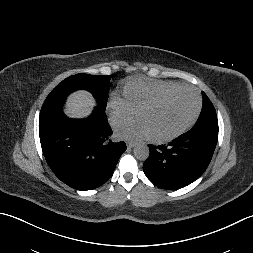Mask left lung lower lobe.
<instances>
[{"mask_svg": "<svg viewBox=\"0 0 253 253\" xmlns=\"http://www.w3.org/2000/svg\"><path fill=\"white\" fill-rule=\"evenodd\" d=\"M218 139V129L194 126L169 145H149L143 164L148 179L156 186L175 190L198 179L208 167Z\"/></svg>", "mask_w": 253, "mask_h": 253, "instance_id": "obj_1", "label": "left lung lower lobe"}]
</instances>
